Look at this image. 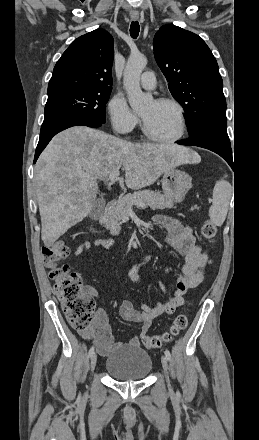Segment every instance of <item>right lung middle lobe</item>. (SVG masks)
<instances>
[{
	"instance_id": "1",
	"label": "right lung middle lobe",
	"mask_w": 259,
	"mask_h": 440,
	"mask_svg": "<svg viewBox=\"0 0 259 440\" xmlns=\"http://www.w3.org/2000/svg\"><path fill=\"white\" fill-rule=\"evenodd\" d=\"M111 91L68 89L48 94L43 123L66 117H82L105 123V107Z\"/></svg>"
}]
</instances>
